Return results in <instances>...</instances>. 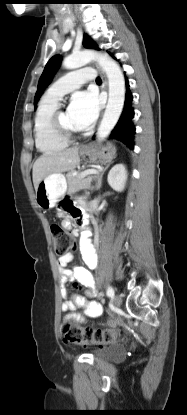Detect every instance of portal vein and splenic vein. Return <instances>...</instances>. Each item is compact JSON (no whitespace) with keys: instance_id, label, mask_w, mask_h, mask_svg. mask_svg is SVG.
<instances>
[{"instance_id":"obj_1","label":"portal vein and splenic vein","mask_w":187,"mask_h":415,"mask_svg":"<svg viewBox=\"0 0 187 415\" xmlns=\"http://www.w3.org/2000/svg\"><path fill=\"white\" fill-rule=\"evenodd\" d=\"M90 174H98V171L96 169H88L81 173V177H85Z\"/></svg>"}]
</instances>
